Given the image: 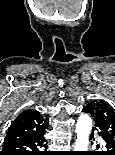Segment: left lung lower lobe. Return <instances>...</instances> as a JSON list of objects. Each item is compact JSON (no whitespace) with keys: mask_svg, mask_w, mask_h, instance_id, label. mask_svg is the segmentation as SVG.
<instances>
[{"mask_svg":"<svg viewBox=\"0 0 115 155\" xmlns=\"http://www.w3.org/2000/svg\"><path fill=\"white\" fill-rule=\"evenodd\" d=\"M83 111L89 112V113L92 114L93 117H94V114H93L91 108L85 107V108L83 109ZM94 119H95V117H94ZM101 128H102V126H101L100 122H99L97 119H95V129L100 131V132H99V135H100V136L103 138V140L106 142V145H109V144H108V143H109V140H108V138H107V136H106V133H105L104 131H102ZM101 155H103V154H101Z\"/></svg>","mask_w":115,"mask_h":155,"instance_id":"obj_1","label":"left lung lower lobe"}]
</instances>
